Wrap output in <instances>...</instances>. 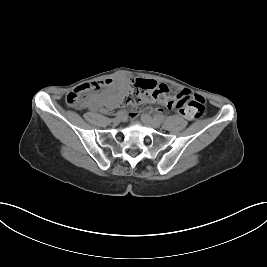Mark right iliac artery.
Segmentation results:
<instances>
[{
    "mask_svg": "<svg viewBox=\"0 0 267 267\" xmlns=\"http://www.w3.org/2000/svg\"><path fill=\"white\" fill-rule=\"evenodd\" d=\"M123 114H124V111L121 110V111H118L115 115L119 116V115H123Z\"/></svg>",
    "mask_w": 267,
    "mask_h": 267,
    "instance_id": "right-iliac-artery-1",
    "label": "right iliac artery"
}]
</instances>
